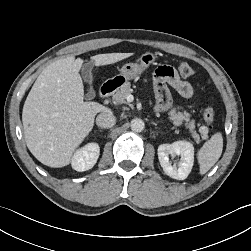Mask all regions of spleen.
<instances>
[{"label": "spleen", "mask_w": 251, "mask_h": 251, "mask_svg": "<svg viewBox=\"0 0 251 251\" xmlns=\"http://www.w3.org/2000/svg\"><path fill=\"white\" fill-rule=\"evenodd\" d=\"M223 150V138L220 132L206 141L198 152L200 174H205L220 158Z\"/></svg>", "instance_id": "1"}]
</instances>
